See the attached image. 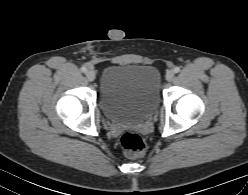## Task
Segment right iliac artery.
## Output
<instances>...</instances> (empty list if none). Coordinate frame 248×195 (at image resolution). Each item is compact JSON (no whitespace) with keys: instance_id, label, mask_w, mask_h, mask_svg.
Listing matches in <instances>:
<instances>
[{"instance_id":"right-iliac-artery-1","label":"right iliac artery","mask_w":248,"mask_h":195,"mask_svg":"<svg viewBox=\"0 0 248 195\" xmlns=\"http://www.w3.org/2000/svg\"><path fill=\"white\" fill-rule=\"evenodd\" d=\"M81 71H82L83 73H85V72L87 71V68H86L85 66H82V67H81Z\"/></svg>"}]
</instances>
